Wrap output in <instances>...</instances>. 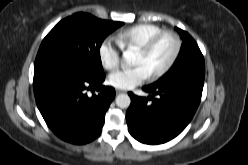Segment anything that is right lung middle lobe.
Here are the masks:
<instances>
[{
	"label": "right lung middle lobe",
	"mask_w": 248,
	"mask_h": 165,
	"mask_svg": "<svg viewBox=\"0 0 248 165\" xmlns=\"http://www.w3.org/2000/svg\"><path fill=\"white\" fill-rule=\"evenodd\" d=\"M122 25L123 22L75 13L60 21L44 38L34 69L54 62H74L92 76L103 75L101 44L107 35Z\"/></svg>",
	"instance_id": "dd1d6c3e"
}]
</instances>
